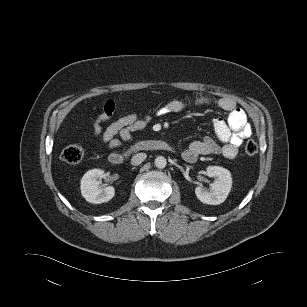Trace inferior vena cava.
I'll list each match as a JSON object with an SVG mask.
<instances>
[{
	"instance_id": "602c4592",
	"label": "inferior vena cava",
	"mask_w": 307,
	"mask_h": 307,
	"mask_svg": "<svg viewBox=\"0 0 307 307\" xmlns=\"http://www.w3.org/2000/svg\"><path fill=\"white\" fill-rule=\"evenodd\" d=\"M146 157L147 155L145 153L135 154L131 159V164L135 166L139 165L146 159Z\"/></svg>"
}]
</instances>
